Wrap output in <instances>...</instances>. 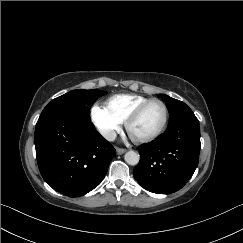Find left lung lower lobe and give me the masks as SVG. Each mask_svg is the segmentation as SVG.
<instances>
[{"label": "left lung lower lobe", "mask_w": 243, "mask_h": 243, "mask_svg": "<svg viewBox=\"0 0 243 243\" xmlns=\"http://www.w3.org/2000/svg\"><path fill=\"white\" fill-rule=\"evenodd\" d=\"M138 150L140 161L133 170L136 181L153 193L176 192L188 182L198 165L199 121L195 115L184 117Z\"/></svg>", "instance_id": "obj_1"}]
</instances>
